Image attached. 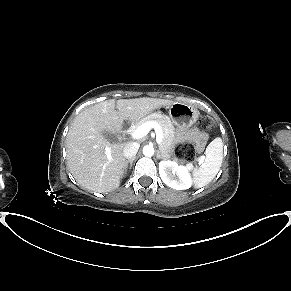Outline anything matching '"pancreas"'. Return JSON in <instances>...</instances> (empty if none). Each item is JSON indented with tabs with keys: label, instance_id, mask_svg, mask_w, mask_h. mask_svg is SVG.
Here are the masks:
<instances>
[{
	"label": "pancreas",
	"instance_id": "pancreas-1",
	"mask_svg": "<svg viewBox=\"0 0 291 291\" xmlns=\"http://www.w3.org/2000/svg\"><path fill=\"white\" fill-rule=\"evenodd\" d=\"M148 121H153L158 123L163 131V140L162 143L159 144L160 150L163 152L166 158H169L170 155V147L173 143L174 140V126L170 120V118L166 115H162L159 113H152L149 114L141 119H139L136 123H134L131 126L132 132L135 131L139 126H141L143 123L148 122ZM177 161V159H174Z\"/></svg>",
	"mask_w": 291,
	"mask_h": 291
}]
</instances>
